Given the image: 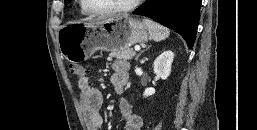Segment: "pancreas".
<instances>
[{
  "label": "pancreas",
  "instance_id": "cf45deb5",
  "mask_svg": "<svg viewBox=\"0 0 257 130\" xmlns=\"http://www.w3.org/2000/svg\"><path fill=\"white\" fill-rule=\"evenodd\" d=\"M135 52L132 48H124L110 53V56L118 60H131L135 56Z\"/></svg>",
  "mask_w": 257,
  "mask_h": 130
}]
</instances>
